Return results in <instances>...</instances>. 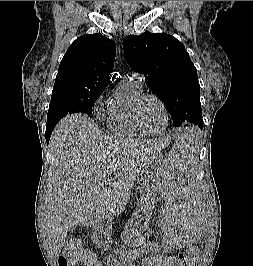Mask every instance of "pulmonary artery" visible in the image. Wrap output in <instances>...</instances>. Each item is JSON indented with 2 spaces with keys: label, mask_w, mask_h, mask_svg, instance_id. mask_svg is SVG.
<instances>
[{
  "label": "pulmonary artery",
  "mask_w": 253,
  "mask_h": 266,
  "mask_svg": "<svg viewBox=\"0 0 253 266\" xmlns=\"http://www.w3.org/2000/svg\"><path fill=\"white\" fill-rule=\"evenodd\" d=\"M126 79L134 80L141 83V77L138 74H127Z\"/></svg>",
  "instance_id": "obj_1"
}]
</instances>
